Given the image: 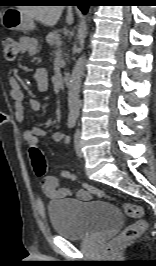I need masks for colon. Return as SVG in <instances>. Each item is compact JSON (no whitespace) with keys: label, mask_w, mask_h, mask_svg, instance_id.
I'll return each mask as SVG.
<instances>
[{"label":"colon","mask_w":156,"mask_h":266,"mask_svg":"<svg viewBox=\"0 0 156 266\" xmlns=\"http://www.w3.org/2000/svg\"><path fill=\"white\" fill-rule=\"evenodd\" d=\"M3 53L7 60L12 61L16 58L19 48L16 41L12 37H5L2 42ZM29 153L31 157V162L33 169L38 176H43L49 171L48 164L42 153V151L37 147L33 146L29 148ZM62 177L69 179L71 181H78L75 174L70 171H61ZM83 189L91 195H96L101 198H111L103 190L90 185L88 183L82 182ZM123 210L125 214L131 218H135L136 221L128 225L114 241L113 244L128 242L139 237L147 227L146 221L143 219V208L139 205L132 203H124Z\"/></svg>","instance_id":"colon-1"}]
</instances>
